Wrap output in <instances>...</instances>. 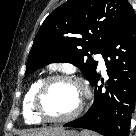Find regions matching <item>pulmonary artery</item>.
<instances>
[{
  "instance_id": "pulmonary-artery-1",
  "label": "pulmonary artery",
  "mask_w": 136,
  "mask_h": 136,
  "mask_svg": "<svg viewBox=\"0 0 136 136\" xmlns=\"http://www.w3.org/2000/svg\"><path fill=\"white\" fill-rule=\"evenodd\" d=\"M96 58L99 60V66L104 69L105 68V62H104V59H103V56L102 54H97L96 55Z\"/></svg>"
}]
</instances>
